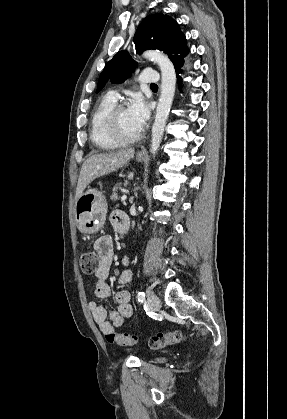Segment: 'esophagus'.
I'll list each match as a JSON object with an SVG mask.
<instances>
[{"instance_id":"esophagus-1","label":"esophagus","mask_w":287,"mask_h":419,"mask_svg":"<svg viewBox=\"0 0 287 419\" xmlns=\"http://www.w3.org/2000/svg\"><path fill=\"white\" fill-rule=\"evenodd\" d=\"M140 153H141V154H144V152H143V151H140Z\"/></svg>"}]
</instances>
